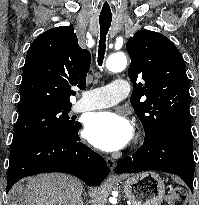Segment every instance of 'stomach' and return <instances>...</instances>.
I'll list each match as a JSON object with an SVG mask.
<instances>
[{
	"label": "stomach",
	"mask_w": 199,
	"mask_h": 205,
	"mask_svg": "<svg viewBox=\"0 0 199 205\" xmlns=\"http://www.w3.org/2000/svg\"><path fill=\"white\" fill-rule=\"evenodd\" d=\"M123 187L133 205H159L165 194L164 181L151 171L126 176Z\"/></svg>",
	"instance_id": "0dacf381"
}]
</instances>
